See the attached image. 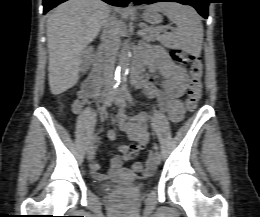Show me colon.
<instances>
[{
  "mask_svg": "<svg viewBox=\"0 0 260 217\" xmlns=\"http://www.w3.org/2000/svg\"><path fill=\"white\" fill-rule=\"evenodd\" d=\"M171 58L180 64L190 65V84H189V97L187 100L186 108L188 111L193 112L197 109L202 94V76L203 65L200 57L196 54L187 53L181 50L171 51ZM133 169L137 173L144 172L142 163L136 162L133 164Z\"/></svg>",
  "mask_w": 260,
  "mask_h": 217,
  "instance_id": "colon-1",
  "label": "colon"
}]
</instances>
